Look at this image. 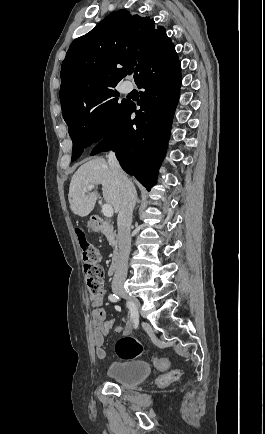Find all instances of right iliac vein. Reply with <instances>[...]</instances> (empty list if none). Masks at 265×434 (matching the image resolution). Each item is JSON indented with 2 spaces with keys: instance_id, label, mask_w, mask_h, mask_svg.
Instances as JSON below:
<instances>
[{
  "instance_id": "63e3f726",
  "label": "right iliac vein",
  "mask_w": 265,
  "mask_h": 434,
  "mask_svg": "<svg viewBox=\"0 0 265 434\" xmlns=\"http://www.w3.org/2000/svg\"><path fill=\"white\" fill-rule=\"evenodd\" d=\"M113 291H114L116 294L121 295V296L124 297L125 299H128L129 302H130L134 307L139 308V306H140L139 301H138L135 297H133V296H128V294H127V292L125 291V289L123 288V286H115V287L113 288Z\"/></svg>"
}]
</instances>
